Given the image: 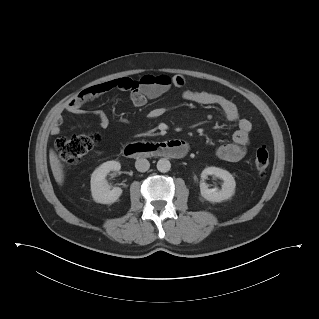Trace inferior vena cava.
Segmentation results:
<instances>
[{"label": "inferior vena cava", "instance_id": "inferior-vena-cava-1", "mask_svg": "<svg viewBox=\"0 0 319 319\" xmlns=\"http://www.w3.org/2000/svg\"><path fill=\"white\" fill-rule=\"evenodd\" d=\"M135 167L139 172H146L150 167V163L147 159L140 158L136 160Z\"/></svg>", "mask_w": 319, "mask_h": 319}]
</instances>
